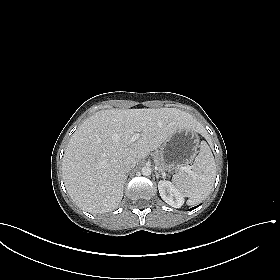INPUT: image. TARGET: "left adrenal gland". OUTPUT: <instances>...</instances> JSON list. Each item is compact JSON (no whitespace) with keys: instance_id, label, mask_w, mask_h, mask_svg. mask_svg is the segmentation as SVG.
Here are the masks:
<instances>
[{"instance_id":"1","label":"left adrenal gland","mask_w":280,"mask_h":280,"mask_svg":"<svg viewBox=\"0 0 280 280\" xmlns=\"http://www.w3.org/2000/svg\"><path fill=\"white\" fill-rule=\"evenodd\" d=\"M155 174L157 179H159L160 177L165 178L164 176H160V174L157 171H155Z\"/></svg>"}]
</instances>
